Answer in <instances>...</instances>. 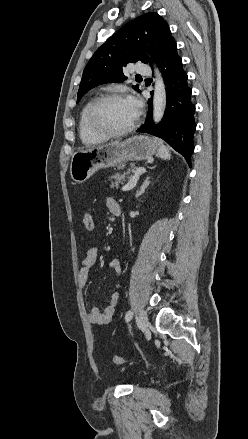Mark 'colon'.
I'll return each mask as SVG.
<instances>
[{
	"label": "colon",
	"instance_id": "1",
	"mask_svg": "<svg viewBox=\"0 0 248 439\" xmlns=\"http://www.w3.org/2000/svg\"><path fill=\"white\" fill-rule=\"evenodd\" d=\"M83 224L87 231H92L95 226L94 216L90 211H86L83 216ZM111 361L115 364L121 365L124 363V359L120 356L114 355L111 358Z\"/></svg>",
	"mask_w": 248,
	"mask_h": 439
}]
</instances>
